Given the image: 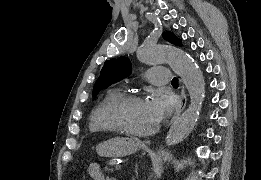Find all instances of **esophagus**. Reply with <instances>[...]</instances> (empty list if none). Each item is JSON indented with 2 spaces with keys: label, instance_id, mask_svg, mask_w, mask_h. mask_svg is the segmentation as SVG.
Wrapping results in <instances>:
<instances>
[{
  "label": "esophagus",
  "instance_id": "obj_1",
  "mask_svg": "<svg viewBox=\"0 0 261 180\" xmlns=\"http://www.w3.org/2000/svg\"><path fill=\"white\" fill-rule=\"evenodd\" d=\"M180 106L179 108L176 110L175 114L172 117L171 123L180 115V113L182 112V110H184L185 106H186V102H187V98H186V93H185V89L182 86L181 88V92H180ZM146 144H150V141L147 140L146 142H144Z\"/></svg>",
  "mask_w": 261,
  "mask_h": 180
}]
</instances>
